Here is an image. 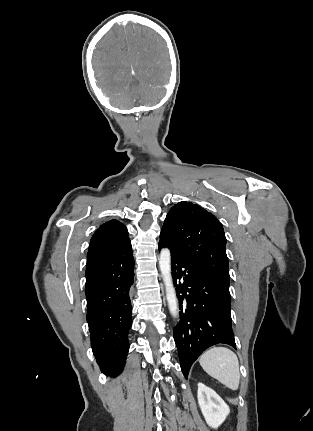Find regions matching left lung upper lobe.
<instances>
[{"instance_id": "1", "label": "left lung upper lobe", "mask_w": 313, "mask_h": 431, "mask_svg": "<svg viewBox=\"0 0 313 431\" xmlns=\"http://www.w3.org/2000/svg\"><path fill=\"white\" fill-rule=\"evenodd\" d=\"M159 241L193 267L229 284L224 230L204 208L186 201L174 205L165 218Z\"/></svg>"}]
</instances>
